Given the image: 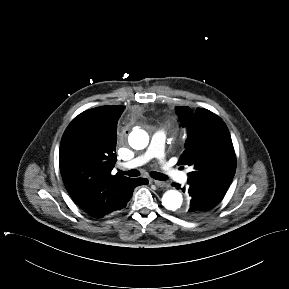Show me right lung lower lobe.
I'll use <instances>...</instances> for the list:
<instances>
[{
	"instance_id": "98d812e1",
	"label": "right lung lower lobe",
	"mask_w": 289,
	"mask_h": 289,
	"mask_svg": "<svg viewBox=\"0 0 289 289\" xmlns=\"http://www.w3.org/2000/svg\"><path fill=\"white\" fill-rule=\"evenodd\" d=\"M148 183V180L147 179H144V178H135L133 180V183H132V186L130 187V190L125 198V201L124 203L122 204V207L121 209H123L124 207H126L127 205V202L130 200L131 196H132V193H133V190L136 186H139V185H143V184H147ZM120 209V210H121Z\"/></svg>"
}]
</instances>
